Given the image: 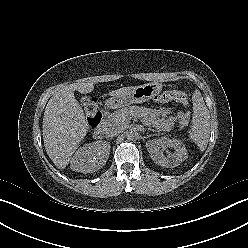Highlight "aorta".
Segmentation results:
<instances>
[{
  "label": "aorta",
  "instance_id": "1",
  "mask_svg": "<svg viewBox=\"0 0 248 248\" xmlns=\"http://www.w3.org/2000/svg\"><path fill=\"white\" fill-rule=\"evenodd\" d=\"M126 137L128 140L134 141L138 139L139 134L135 129H130L126 132Z\"/></svg>",
  "mask_w": 248,
  "mask_h": 248
}]
</instances>
